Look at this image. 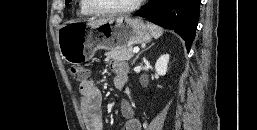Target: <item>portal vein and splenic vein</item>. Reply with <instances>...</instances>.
Masks as SVG:
<instances>
[{
    "instance_id": "obj_1",
    "label": "portal vein and splenic vein",
    "mask_w": 257,
    "mask_h": 130,
    "mask_svg": "<svg viewBox=\"0 0 257 130\" xmlns=\"http://www.w3.org/2000/svg\"><path fill=\"white\" fill-rule=\"evenodd\" d=\"M139 51V48H134L133 53H137Z\"/></svg>"
}]
</instances>
